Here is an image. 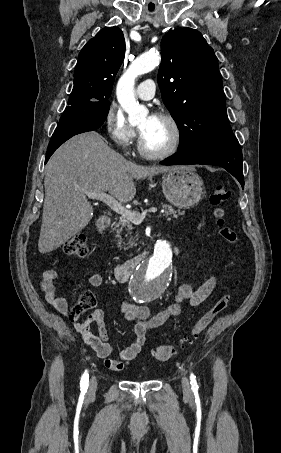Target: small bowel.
<instances>
[{
    "mask_svg": "<svg viewBox=\"0 0 281 453\" xmlns=\"http://www.w3.org/2000/svg\"><path fill=\"white\" fill-rule=\"evenodd\" d=\"M58 277L55 269H46L40 277V289L44 299L51 303L61 314L67 315L69 302L59 296L56 292L54 280ZM89 283L98 287L102 284L100 273L92 272L88 276ZM215 278L209 277L204 284L196 291L188 285H182L174 298L173 304L153 317L149 316L148 310L137 303L124 300L121 303V310L125 318L133 323L135 339L130 346L121 351L118 358L112 357V347L108 342L106 330V317L101 309H95L90 318L85 322H75L76 330L81 334L82 341L96 351L99 359L105 360L110 371H119L131 363L145 344L147 333L150 329L162 326L173 316H177L182 304L197 306L202 303L215 287ZM92 320L95 321L98 334L91 333L88 328Z\"/></svg>",
    "mask_w": 281,
    "mask_h": 453,
    "instance_id": "obj_1",
    "label": "small bowel"
}]
</instances>
